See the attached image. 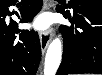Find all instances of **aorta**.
<instances>
[{
	"label": "aorta",
	"mask_w": 102,
	"mask_h": 75,
	"mask_svg": "<svg viewBox=\"0 0 102 75\" xmlns=\"http://www.w3.org/2000/svg\"><path fill=\"white\" fill-rule=\"evenodd\" d=\"M62 58V44L59 38L54 39L48 47L44 75H55Z\"/></svg>",
	"instance_id": "aorta-1"
}]
</instances>
